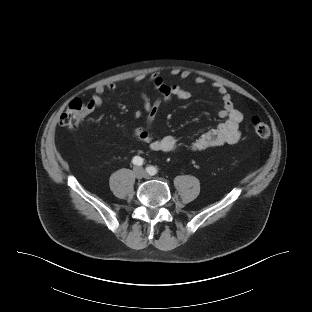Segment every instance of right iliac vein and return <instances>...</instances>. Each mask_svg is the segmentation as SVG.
Masks as SVG:
<instances>
[{
    "instance_id": "obj_1",
    "label": "right iliac vein",
    "mask_w": 312,
    "mask_h": 312,
    "mask_svg": "<svg viewBox=\"0 0 312 312\" xmlns=\"http://www.w3.org/2000/svg\"><path fill=\"white\" fill-rule=\"evenodd\" d=\"M134 174L137 178H141L143 176V170L141 168H136Z\"/></svg>"
}]
</instances>
